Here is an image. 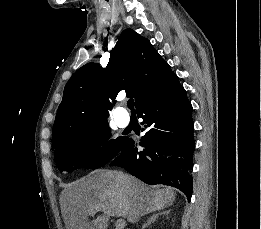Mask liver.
Wrapping results in <instances>:
<instances>
[{"label": "liver", "mask_w": 261, "mask_h": 229, "mask_svg": "<svg viewBox=\"0 0 261 229\" xmlns=\"http://www.w3.org/2000/svg\"><path fill=\"white\" fill-rule=\"evenodd\" d=\"M175 195L173 187L148 191L135 177L98 169L71 183L62 211L67 229H106L107 217L100 215L91 223L87 217L102 211L108 217H124L134 225L140 217L170 207Z\"/></svg>", "instance_id": "6515ba94"}]
</instances>
